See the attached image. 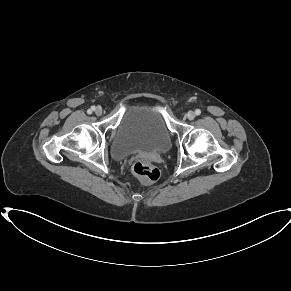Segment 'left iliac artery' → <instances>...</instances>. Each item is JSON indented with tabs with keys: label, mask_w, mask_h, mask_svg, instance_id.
<instances>
[{
	"label": "left iliac artery",
	"mask_w": 291,
	"mask_h": 291,
	"mask_svg": "<svg viewBox=\"0 0 291 291\" xmlns=\"http://www.w3.org/2000/svg\"><path fill=\"white\" fill-rule=\"evenodd\" d=\"M195 114L198 116V115H200L201 114V110L200 109H196L195 110Z\"/></svg>",
	"instance_id": "44dca946"
}]
</instances>
